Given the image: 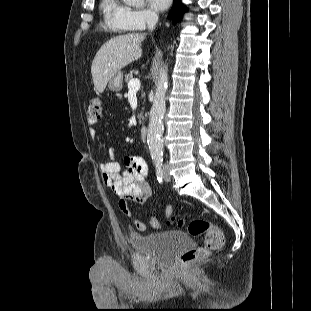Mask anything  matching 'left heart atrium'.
I'll return each instance as SVG.
<instances>
[{
  "label": "left heart atrium",
  "instance_id": "left-heart-atrium-1",
  "mask_svg": "<svg viewBox=\"0 0 311 311\" xmlns=\"http://www.w3.org/2000/svg\"><path fill=\"white\" fill-rule=\"evenodd\" d=\"M150 5L155 9V10H164L166 9L170 3L171 0H148Z\"/></svg>",
  "mask_w": 311,
  "mask_h": 311
}]
</instances>
